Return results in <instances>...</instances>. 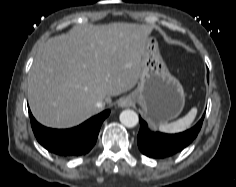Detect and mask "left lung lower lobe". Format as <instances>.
<instances>
[{
  "mask_svg": "<svg viewBox=\"0 0 236 187\" xmlns=\"http://www.w3.org/2000/svg\"><path fill=\"white\" fill-rule=\"evenodd\" d=\"M204 115L199 122L191 129L178 134H164L152 132L148 129L147 123L139 118L140 130L137 136V143L140 151L150 157L163 159L173 156L188 146L198 135Z\"/></svg>",
  "mask_w": 236,
  "mask_h": 187,
  "instance_id": "obj_1",
  "label": "left lung lower lobe"
}]
</instances>
